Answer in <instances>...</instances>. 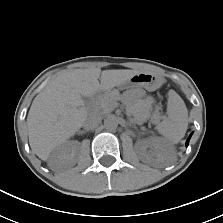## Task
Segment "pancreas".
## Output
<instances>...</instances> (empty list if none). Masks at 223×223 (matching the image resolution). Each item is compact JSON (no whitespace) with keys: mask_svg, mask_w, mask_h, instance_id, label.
<instances>
[{"mask_svg":"<svg viewBox=\"0 0 223 223\" xmlns=\"http://www.w3.org/2000/svg\"><path fill=\"white\" fill-rule=\"evenodd\" d=\"M120 99L118 90L105 92L94 102V109L100 113H110L117 106V100Z\"/></svg>","mask_w":223,"mask_h":223,"instance_id":"1","label":"pancreas"}]
</instances>
